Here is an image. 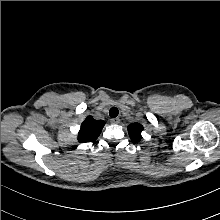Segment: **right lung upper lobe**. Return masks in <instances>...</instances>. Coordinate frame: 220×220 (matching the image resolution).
<instances>
[{"mask_svg":"<svg viewBox=\"0 0 220 220\" xmlns=\"http://www.w3.org/2000/svg\"><path fill=\"white\" fill-rule=\"evenodd\" d=\"M105 122L94 120L91 116L87 117L82 123L78 133L79 142H92L100 135Z\"/></svg>","mask_w":220,"mask_h":220,"instance_id":"right-lung-upper-lobe-1","label":"right lung upper lobe"}]
</instances>
